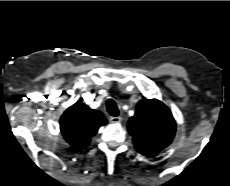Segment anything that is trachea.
I'll use <instances>...</instances> for the list:
<instances>
[{
    "instance_id": "3493384b",
    "label": "trachea",
    "mask_w": 230,
    "mask_h": 186,
    "mask_svg": "<svg viewBox=\"0 0 230 186\" xmlns=\"http://www.w3.org/2000/svg\"><path fill=\"white\" fill-rule=\"evenodd\" d=\"M106 108H107L108 113L111 116L116 117V116L119 115L118 107H117L116 103L112 99H108L106 101Z\"/></svg>"
}]
</instances>
